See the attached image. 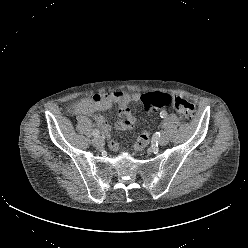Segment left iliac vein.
<instances>
[{
    "instance_id": "obj_1",
    "label": "left iliac vein",
    "mask_w": 248,
    "mask_h": 248,
    "mask_svg": "<svg viewBox=\"0 0 248 248\" xmlns=\"http://www.w3.org/2000/svg\"><path fill=\"white\" fill-rule=\"evenodd\" d=\"M168 141H169V138H168L167 134H165V132H164V134L161 135V137L158 138V143L161 146L166 145L168 143Z\"/></svg>"
}]
</instances>
